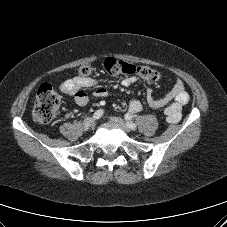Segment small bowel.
Wrapping results in <instances>:
<instances>
[{
    "label": "small bowel",
    "instance_id": "obj_1",
    "mask_svg": "<svg viewBox=\"0 0 227 227\" xmlns=\"http://www.w3.org/2000/svg\"><path fill=\"white\" fill-rule=\"evenodd\" d=\"M135 76H126L122 79L123 86H131L136 82ZM98 82L94 78L74 77L64 81L60 89L66 95L73 97L79 106H85L88 103V95L84 89L95 88L93 96L103 98L107 96V90L97 86ZM189 94L186 92L184 84L181 80H177L172 89L164 96L157 97L151 89L147 90V102L150 108L159 109L166 106L164 110L165 119L168 123H178L182 116V108L189 102ZM143 105L138 100H132L128 104V113L130 115L140 113Z\"/></svg>",
    "mask_w": 227,
    "mask_h": 227
}]
</instances>
